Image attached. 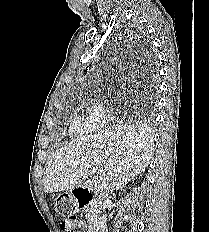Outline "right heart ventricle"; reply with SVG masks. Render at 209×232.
<instances>
[{"mask_svg": "<svg viewBox=\"0 0 209 232\" xmlns=\"http://www.w3.org/2000/svg\"><path fill=\"white\" fill-rule=\"evenodd\" d=\"M68 126L69 133L73 136H81L89 131L86 120L79 114H74L71 116Z\"/></svg>", "mask_w": 209, "mask_h": 232, "instance_id": "obj_1", "label": "right heart ventricle"}]
</instances>
